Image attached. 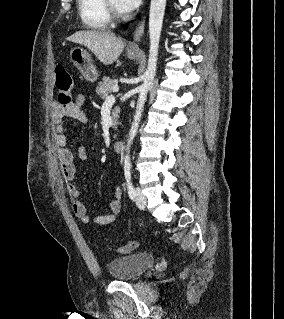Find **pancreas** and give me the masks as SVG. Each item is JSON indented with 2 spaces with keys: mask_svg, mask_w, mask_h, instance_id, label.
I'll return each mask as SVG.
<instances>
[{
  "mask_svg": "<svg viewBox=\"0 0 284 319\" xmlns=\"http://www.w3.org/2000/svg\"><path fill=\"white\" fill-rule=\"evenodd\" d=\"M117 83L116 79H110L109 77H103L102 81L98 83L96 87V93L101 99H106L107 96L112 92L113 86ZM118 107H115L112 111V118H113V126L117 125L118 119Z\"/></svg>",
  "mask_w": 284,
  "mask_h": 319,
  "instance_id": "pancreas-1",
  "label": "pancreas"
}]
</instances>
